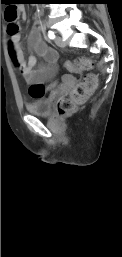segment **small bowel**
Here are the masks:
<instances>
[{
  "label": "small bowel",
  "instance_id": "obj_1",
  "mask_svg": "<svg viewBox=\"0 0 122 257\" xmlns=\"http://www.w3.org/2000/svg\"><path fill=\"white\" fill-rule=\"evenodd\" d=\"M17 12L21 14L23 19L26 18V11L23 6L18 7ZM9 35V57L13 59L11 73H21L28 83L50 82L54 79L57 73L58 54L43 41L41 23L37 17L33 21V28L29 34V49L40 56L43 59V63L38 64L37 58L33 54L28 57L25 55L21 47V34L19 31Z\"/></svg>",
  "mask_w": 122,
  "mask_h": 257
}]
</instances>
